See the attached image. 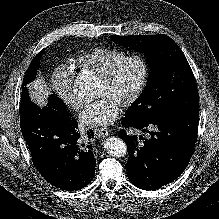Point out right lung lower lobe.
<instances>
[{
    "label": "right lung lower lobe",
    "mask_w": 219,
    "mask_h": 219,
    "mask_svg": "<svg viewBox=\"0 0 219 219\" xmlns=\"http://www.w3.org/2000/svg\"><path fill=\"white\" fill-rule=\"evenodd\" d=\"M20 127L36 169L51 185L67 191L88 185L95 174L96 160L91 130L83 137L69 113L50 105L43 108L31 102L23 87L20 104Z\"/></svg>",
    "instance_id": "98d812e1"
}]
</instances>
